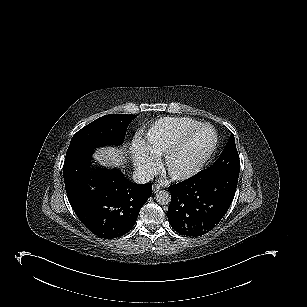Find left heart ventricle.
Instances as JSON below:
<instances>
[{
    "label": "left heart ventricle",
    "mask_w": 307,
    "mask_h": 307,
    "mask_svg": "<svg viewBox=\"0 0 307 307\" xmlns=\"http://www.w3.org/2000/svg\"><path fill=\"white\" fill-rule=\"evenodd\" d=\"M202 138L204 137L202 136ZM200 139L201 136L198 135L196 138H193L190 142L181 147V149L169 162L170 170L173 172H180L192 169L196 163L202 159L201 157L199 159V145L200 142L203 141Z\"/></svg>",
    "instance_id": "left-heart-ventricle-1"
}]
</instances>
